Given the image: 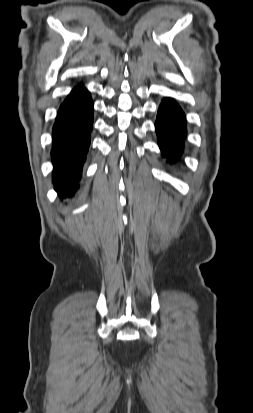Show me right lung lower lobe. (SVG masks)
Returning a JSON list of instances; mask_svg holds the SVG:
<instances>
[{
    "instance_id": "1",
    "label": "right lung lower lobe",
    "mask_w": 253,
    "mask_h": 413,
    "mask_svg": "<svg viewBox=\"0 0 253 413\" xmlns=\"http://www.w3.org/2000/svg\"><path fill=\"white\" fill-rule=\"evenodd\" d=\"M93 102L85 88L73 91L61 104L53 127V183L58 195L77 190L82 165L90 145Z\"/></svg>"
}]
</instances>
